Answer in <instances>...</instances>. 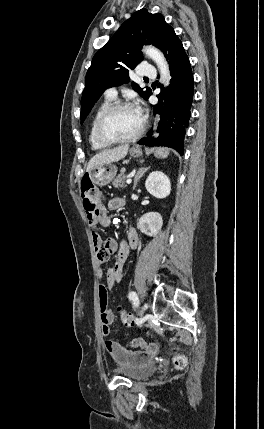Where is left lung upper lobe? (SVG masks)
<instances>
[{
  "label": "left lung upper lobe",
  "instance_id": "5c2ea615",
  "mask_svg": "<svg viewBox=\"0 0 264 429\" xmlns=\"http://www.w3.org/2000/svg\"><path fill=\"white\" fill-rule=\"evenodd\" d=\"M172 29L161 14H152L144 8L121 25L108 43L94 55L87 71L81 99V123L107 88L129 81V70L143 59L141 47L153 44L161 49L166 35ZM132 86L145 99L151 94L150 88L144 90L136 83Z\"/></svg>",
  "mask_w": 264,
  "mask_h": 429
}]
</instances>
